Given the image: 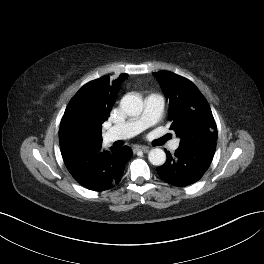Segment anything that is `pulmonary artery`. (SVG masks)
Masks as SVG:
<instances>
[{
  "label": "pulmonary artery",
  "mask_w": 264,
  "mask_h": 264,
  "mask_svg": "<svg viewBox=\"0 0 264 264\" xmlns=\"http://www.w3.org/2000/svg\"><path fill=\"white\" fill-rule=\"evenodd\" d=\"M165 100L161 94L152 93L145 98V109L143 113L126 121L123 124L111 127L105 134L108 142L132 137L146 128L154 125L159 119L164 109ZM179 146V141L175 140L172 149Z\"/></svg>",
  "instance_id": "e3ab8cb5"
}]
</instances>
